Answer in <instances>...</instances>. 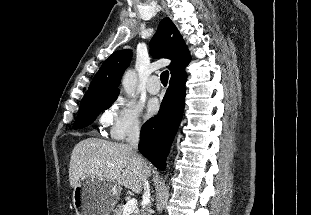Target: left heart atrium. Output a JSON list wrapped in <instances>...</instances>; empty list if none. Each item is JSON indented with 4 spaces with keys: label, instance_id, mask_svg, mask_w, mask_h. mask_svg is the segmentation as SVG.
Returning a JSON list of instances; mask_svg holds the SVG:
<instances>
[{
    "label": "left heart atrium",
    "instance_id": "1",
    "mask_svg": "<svg viewBox=\"0 0 311 215\" xmlns=\"http://www.w3.org/2000/svg\"><path fill=\"white\" fill-rule=\"evenodd\" d=\"M159 111V102L157 100H150L147 104L146 115L152 117Z\"/></svg>",
    "mask_w": 311,
    "mask_h": 215
}]
</instances>
